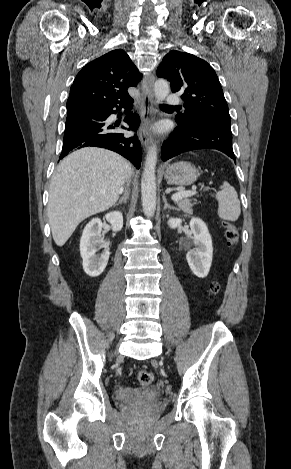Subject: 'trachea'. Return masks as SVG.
<instances>
[{
	"label": "trachea",
	"instance_id": "trachea-1",
	"mask_svg": "<svg viewBox=\"0 0 291 469\" xmlns=\"http://www.w3.org/2000/svg\"><path fill=\"white\" fill-rule=\"evenodd\" d=\"M160 106L164 107V108H177V107H172V106H169V105H166V104H161Z\"/></svg>",
	"mask_w": 291,
	"mask_h": 469
}]
</instances>
